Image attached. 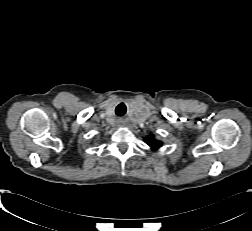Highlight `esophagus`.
Returning a JSON list of instances; mask_svg holds the SVG:
<instances>
[{
	"mask_svg": "<svg viewBox=\"0 0 252 231\" xmlns=\"http://www.w3.org/2000/svg\"><path fill=\"white\" fill-rule=\"evenodd\" d=\"M118 123H122V120H121V119H119V120H118Z\"/></svg>",
	"mask_w": 252,
	"mask_h": 231,
	"instance_id": "1",
	"label": "esophagus"
}]
</instances>
